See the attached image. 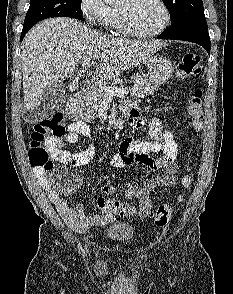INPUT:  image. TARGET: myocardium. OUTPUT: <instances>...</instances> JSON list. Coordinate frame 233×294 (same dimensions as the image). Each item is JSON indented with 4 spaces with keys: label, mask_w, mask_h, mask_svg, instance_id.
I'll return each instance as SVG.
<instances>
[{
    "label": "myocardium",
    "mask_w": 233,
    "mask_h": 294,
    "mask_svg": "<svg viewBox=\"0 0 233 294\" xmlns=\"http://www.w3.org/2000/svg\"><path fill=\"white\" fill-rule=\"evenodd\" d=\"M156 3L162 8L163 13H164V21L160 27L157 29L150 31V32H141L132 27L130 24L129 18L127 14L119 9V15H120V20H121V26L123 31L133 37L137 38H150V37H155L164 32L168 26L170 25L171 22V13L170 10L167 6V4L164 2V0H155Z\"/></svg>",
    "instance_id": "1"
}]
</instances>
